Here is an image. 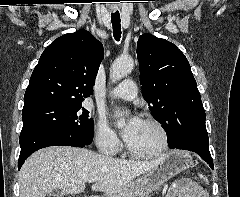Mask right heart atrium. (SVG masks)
Masks as SVG:
<instances>
[{"label":"right heart atrium","mask_w":240,"mask_h":197,"mask_svg":"<svg viewBox=\"0 0 240 197\" xmlns=\"http://www.w3.org/2000/svg\"><path fill=\"white\" fill-rule=\"evenodd\" d=\"M94 141L99 151L105 154H116L121 142L117 133L104 118H99L94 127Z\"/></svg>","instance_id":"d8ad5b80"}]
</instances>
